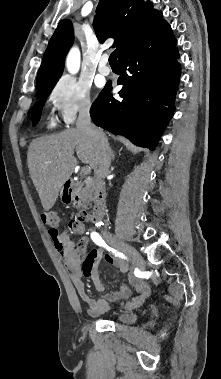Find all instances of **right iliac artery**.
<instances>
[{"label":"right iliac artery","mask_w":221,"mask_h":379,"mask_svg":"<svg viewBox=\"0 0 221 379\" xmlns=\"http://www.w3.org/2000/svg\"><path fill=\"white\" fill-rule=\"evenodd\" d=\"M91 239L93 240V242H95L97 245L105 248L106 250H108L109 252L113 253L115 256H118L119 258H122V259H127V257L119 252V251H116L114 248H111L109 247L105 241L102 239V237L97 233V232H92L91 233Z\"/></svg>","instance_id":"82829eb1"}]
</instances>
